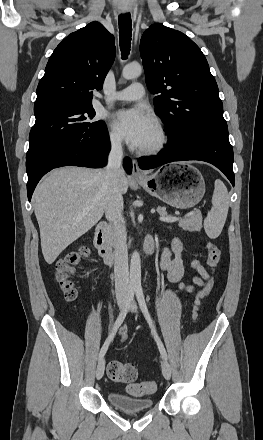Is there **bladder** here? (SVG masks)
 Returning <instances> with one entry per match:
<instances>
[{
  "label": "bladder",
  "mask_w": 263,
  "mask_h": 440,
  "mask_svg": "<svg viewBox=\"0 0 263 440\" xmlns=\"http://www.w3.org/2000/svg\"><path fill=\"white\" fill-rule=\"evenodd\" d=\"M107 399L111 405L126 412L145 411L154 405L152 397H134L121 391H109Z\"/></svg>",
  "instance_id": "bladder-1"
}]
</instances>
